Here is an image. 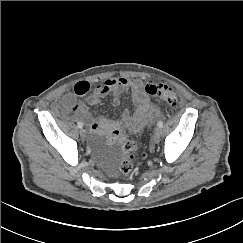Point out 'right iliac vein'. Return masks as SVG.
<instances>
[{
  "label": "right iliac vein",
  "instance_id": "right-iliac-vein-1",
  "mask_svg": "<svg viewBox=\"0 0 243 243\" xmlns=\"http://www.w3.org/2000/svg\"><path fill=\"white\" fill-rule=\"evenodd\" d=\"M80 135H81L82 137H86V135H87L86 130L83 129V128H81V129H80Z\"/></svg>",
  "mask_w": 243,
  "mask_h": 243
}]
</instances>
